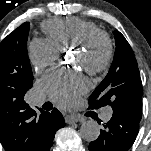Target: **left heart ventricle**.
<instances>
[{
	"instance_id": "left-heart-ventricle-1",
	"label": "left heart ventricle",
	"mask_w": 151,
	"mask_h": 151,
	"mask_svg": "<svg viewBox=\"0 0 151 151\" xmlns=\"http://www.w3.org/2000/svg\"><path fill=\"white\" fill-rule=\"evenodd\" d=\"M103 55V48L102 47H99L95 53L90 57V60L91 61H98ZM86 61V58L83 56V54L81 53H77L76 54V61L75 63L77 65H83V63Z\"/></svg>"
}]
</instances>
